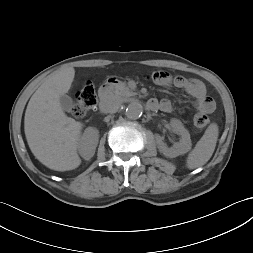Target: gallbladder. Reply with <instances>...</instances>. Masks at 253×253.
I'll return each mask as SVG.
<instances>
[{
  "label": "gallbladder",
  "mask_w": 253,
  "mask_h": 253,
  "mask_svg": "<svg viewBox=\"0 0 253 253\" xmlns=\"http://www.w3.org/2000/svg\"><path fill=\"white\" fill-rule=\"evenodd\" d=\"M59 102L61 108L66 112H70L74 105L72 98L67 94L60 95Z\"/></svg>",
  "instance_id": "1"
}]
</instances>
